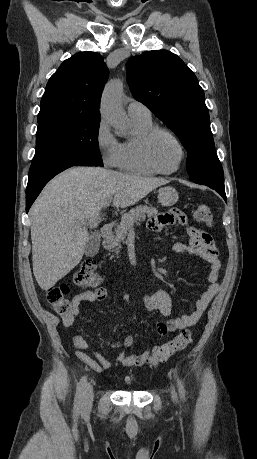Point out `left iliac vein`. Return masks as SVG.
I'll list each match as a JSON object with an SVG mask.
<instances>
[{
	"label": "left iliac vein",
	"mask_w": 257,
	"mask_h": 459,
	"mask_svg": "<svg viewBox=\"0 0 257 459\" xmlns=\"http://www.w3.org/2000/svg\"><path fill=\"white\" fill-rule=\"evenodd\" d=\"M171 398H172V400H173L174 402L177 401V394H176L174 388L171 389Z\"/></svg>",
	"instance_id": "1"
}]
</instances>
